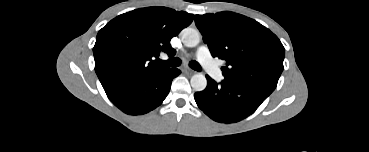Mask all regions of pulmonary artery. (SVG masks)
<instances>
[{"mask_svg": "<svg viewBox=\"0 0 369 152\" xmlns=\"http://www.w3.org/2000/svg\"><path fill=\"white\" fill-rule=\"evenodd\" d=\"M197 58L212 78L216 80L221 78V71L215 61L212 59L209 48L206 45H202L198 48Z\"/></svg>", "mask_w": 369, "mask_h": 152, "instance_id": "1", "label": "pulmonary artery"}]
</instances>
